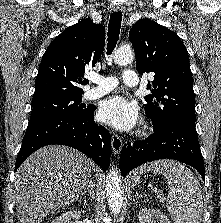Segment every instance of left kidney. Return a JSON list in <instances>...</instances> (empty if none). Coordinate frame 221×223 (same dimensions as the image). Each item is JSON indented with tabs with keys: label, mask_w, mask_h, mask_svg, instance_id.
Returning a JSON list of instances; mask_svg holds the SVG:
<instances>
[{
	"label": "left kidney",
	"mask_w": 221,
	"mask_h": 223,
	"mask_svg": "<svg viewBox=\"0 0 221 223\" xmlns=\"http://www.w3.org/2000/svg\"><path fill=\"white\" fill-rule=\"evenodd\" d=\"M139 223H171L167 216L161 213L159 210L142 209L139 212Z\"/></svg>",
	"instance_id": "1"
}]
</instances>
